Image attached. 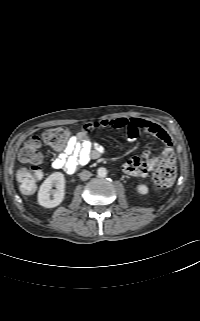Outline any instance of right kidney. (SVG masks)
<instances>
[{"instance_id": "ca27d5eb", "label": "right kidney", "mask_w": 200, "mask_h": 321, "mask_svg": "<svg viewBox=\"0 0 200 321\" xmlns=\"http://www.w3.org/2000/svg\"><path fill=\"white\" fill-rule=\"evenodd\" d=\"M55 187V189H52ZM65 197V177L61 172H54L41 184L38 203L45 208H54Z\"/></svg>"}]
</instances>
